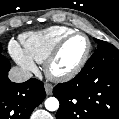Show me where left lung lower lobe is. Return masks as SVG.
<instances>
[{"instance_id":"1","label":"left lung lower lobe","mask_w":119,"mask_h":119,"mask_svg":"<svg viewBox=\"0 0 119 119\" xmlns=\"http://www.w3.org/2000/svg\"><path fill=\"white\" fill-rule=\"evenodd\" d=\"M53 94L60 102L57 119H119V50L108 43L95 51Z\"/></svg>"}]
</instances>
